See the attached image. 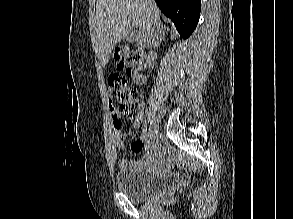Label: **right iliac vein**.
I'll return each mask as SVG.
<instances>
[{
	"mask_svg": "<svg viewBox=\"0 0 293 219\" xmlns=\"http://www.w3.org/2000/svg\"><path fill=\"white\" fill-rule=\"evenodd\" d=\"M158 135V127L153 125L150 127V139L154 140Z\"/></svg>",
	"mask_w": 293,
	"mask_h": 219,
	"instance_id": "1",
	"label": "right iliac vein"
}]
</instances>
